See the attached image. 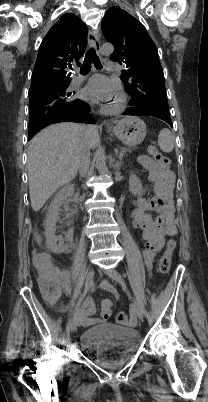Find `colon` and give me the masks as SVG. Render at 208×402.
I'll return each instance as SVG.
<instances>
[{
    "label": "colon",
    "instance_id": "1",
    "mask_svg": "<svg viewBox=\"0 0 208 402\" xmlns=\"http://www.w3.org/2000/svg\"><path fill=\"white\" fill-rule=\"evenodd\" d=\"M148 152L158 161L168 162L155 146H149ZM37 243H42V238H37ZM176 248V241L174 238H170L166 243V250L159 260L158 272L161 275H166L169 273L171 268V259L173 252ZM33 257L35 258V268L38 270V275L41 278V282L38 287V294L45 295L47 301H49V306L51 308H56L58 306L57 298L60 294V289L58 286L63 285V278L58 277L57 267L54 266L53 262H50V257L47 256L45 250H35L33 252ZM60 310L59 308L57 309ZM115 321L120 325L128 324V316L125 312L120 311L115 314Z\"/></svg>",
    "mask_w": 208,
    "mask_h": 402
}]
</instances>
